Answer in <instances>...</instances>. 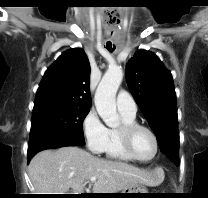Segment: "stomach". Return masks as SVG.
<instances>
[{
	"label": "stomach",
	"instance_id": "0dacf381",
	"mask_svg": "<svg viewBox=\"0 0 208 198\" xmlns=\"http://www.w3.org/2000/svg\"><path fill=\"white\" fill-rule=\"evenodd\" d=\"M120 193L119 197L122 198H144L146 194L141 193H149L146 187L142 184H133L125 189H123Z\"/></svg>",
	"mask_w": 208,
	"mask_h": 198
}]
</instances>
